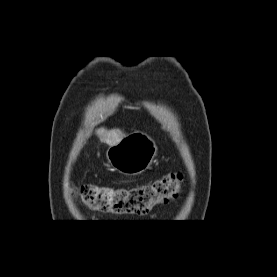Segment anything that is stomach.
Returning <instances> with one entry per match:
<instances>
[{"mask_svg":"<svg viewBox=\"0 0 277 277\" xmlns=\"http://www.w3.org/2000/svg\"><path fill=\"white\" fill-rule=\"evenodd\" d=\"M157 150L155 141L148 134L137 131L110 146L106 157L113 170L125 175H137L150 167Z\"/></svg>","mask_w":277,"mask_h":277,"instance_id":"1","label":"stomach"}]
</instances>
